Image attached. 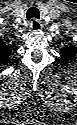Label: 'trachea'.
Wrapping results in <instances>:
<instances>
[{"label": "trachea", "mask_w": 77, "mask_h": 125, "mask_svg": "<svg viewBox=\"0 0 77 125\" xmlns=\"http://www.w3.org/2000/svg\"><path fill=\"white\" fill-rule=\"evenodd\" d=\"M26 17L28 20H30L31 18L39 19L40 17L39 10L34 6L30 7L26 13Z\"/></svg>", "instance_id": "trachea-1"}]
</instances>
